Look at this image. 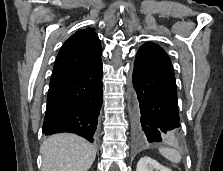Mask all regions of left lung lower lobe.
Instances as JSON below:
<instances>
[{
	"label": "left lung lower lobe",
	"instance_id": "0a47b994",
	"mask_svg": "<svg viewBox=\"0 0 223 171\" xmlns=\"http://www.w3.org/2000/svg\"><path fill=\"white\" fill-rule=\"evenodd\" d=\"M134 140L137 146L180 138L177 87L171 61L157 44L145 43L134 62Z\"/></svg>",
	"mask_w": 223,
	"mask_h": 171
}]
</instances>
